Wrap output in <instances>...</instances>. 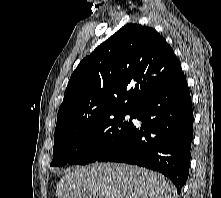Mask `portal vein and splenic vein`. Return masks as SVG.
<instances>
[{"mask_svg":"<svg viewBox=\"0 0 221 198\" xmlns=\"http://www.w3.org/2000/svg\"><path fill=\"white\" fill-rule=\"evenodd\" d=\"M105 198H111V196L110 195H106Z\"/></svg>","mask_w":221,"mask_h":198,"instance_id":"portal-vein-and-splenic-vein-1","label":"portal vein and splenic vein"}]
</instances>
